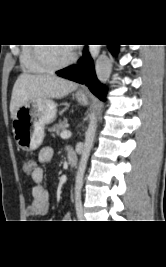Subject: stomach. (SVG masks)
Listing matches in <instances>:
<instances>
[{
  "mask_svg": "<svg viewBox=\"0 0 166 267\" xmlns=\"http://www.w3.org/2000/svg\"><path fill=\"white\" fill-rule=\"evenodd\" d=\"M77 100L87 104L84 93H76ZM57 105L50 98H37L20 107L12 119V132L17 145L24 151L37 149L44 139V127L54 121Z\"/></svg>",
  "mask_w": 166,
  "mask_h": 267,
  "instance_id": "1",
  "label": "stomach"
}]
</instances>
